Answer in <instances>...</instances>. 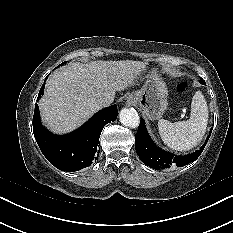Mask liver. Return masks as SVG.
<instances>
[{
    "mask_svg": "<svg viewBox=\"0 0 233 233\" xmlns=\"http://www.w3.org/2000/svg\"><path fill=\"white\" fill-rule=\"evenodd\" d=\"M145 68L133 60L70 63L46 82L39 102L43 123L57 134L75 130L102 108L100 98L113 102L116 91L133 86Z\"/></svg>",
    "mask_w": 233,
    "mask_h": 233,
    "instance_id": "liver-1",
    "label": "liver"
}]
</instances>
